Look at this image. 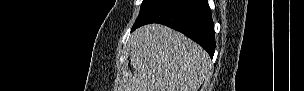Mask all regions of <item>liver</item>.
<instances>
[{"mask_svg": "<svg viewBox=\"0 0 304 91\" xmlns=\"http://www.w3.org/2000/svg\"><path fill=\"white\" fill-rule=\"evenodd\" d=\"M134 76L125 91H198L209 77V55L198 44L160 24L131 35Z\"/></svg>", "mask_w": 304, "mask_h": 91, "instance_id": "1", "label": "liver"}]
</instances>
